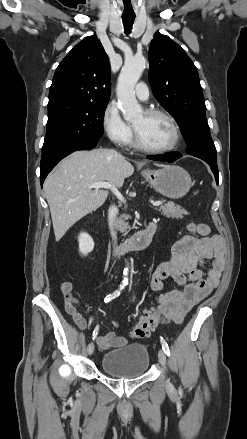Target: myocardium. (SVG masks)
Here are the masks:
<instances>
[{
  "label": "myocardium",
  "mask_w": 247,
  "mask_h": 439,
  "mask_svg": "<svg viewBox=\"0 0 247 439\" xmlns=\"http://www.w3.org/2000/svg\"><path fill=\"white\" fill-rule=\"evenodd\" d=\"M144 114L148 117H152V116L165 117L170 122V124L172 126L173 140H172L171 144H169L166 147H162V148L149 147L143 143V141L139 135V132L133 126L135 146L144 152L153 153V154H163V153H168V152L175 150L179 146L180 141H181V130H180V126H179L176 118L168 111L163 110V109H159V108L147 109L144 111Z\"/></svg>",
  "instance_id": "f54148a6"
}]
</instances>
